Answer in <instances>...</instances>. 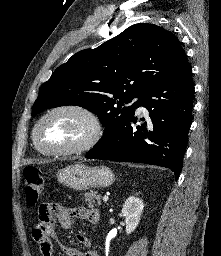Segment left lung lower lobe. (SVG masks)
<instances>
[{
  "label": "left lung lower lobe",
  "instance_id": "0a47b994",
  "mask_svg": "<svg viewBox=\"0 0 221 256\" xmlns=\"http://www.w3.org/2000/svg\"><path fill=\"white\" fill-rule=\"evenodd\" d=\"M194 85L188 63L176 74L155 85L139 106L149 111L137 130L134 115L105 133L85 157L139 162L171 169L176 179L181 169L192 120ZM138 106V107H139Z\"/></svg>",
  "mask_w": 221,
  "mask_h": 256
}]
</instances>
